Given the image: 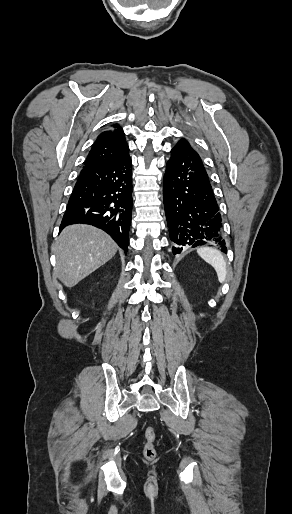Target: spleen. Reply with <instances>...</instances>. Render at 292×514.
<instances>
[{"label":"spleen","mask_w":292,"mask_h":514,"mask_svg":"<svg viewBox=\"0 0 292 514\" xmlns=\"http://www.w3.org/2000/svg\"><path fill=\"white\" fill-rule=\"evenodd\" d=\"M197 254L200 258H203L205 262L213 266L214 270L217 272L219 282H225L227 274L226 262L222 254H220L218 250H214V248H198Z\"/></svg>","instance_id":"spleen-1"}]
</instances>
